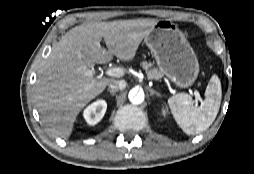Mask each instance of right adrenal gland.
I'll use <instances>...</instances> for the list:
<instances>
[{
  "label": "right adrenal gland",
  "mask_w": 254,
  "mask_h": 174,
  "mask_svg": "<svg viewBox=\"0 0 254 174\" xmlns=\"http://www.w3.org/2000/svg\"><path fill=\"white\" fill-rule=\"evenodd\" d=\"M107 91L110 92L111 95H114L116 93L115 91L110 90V89H108Z\"/></svg>",
  "instance_id": "1"
}]
</instances>
